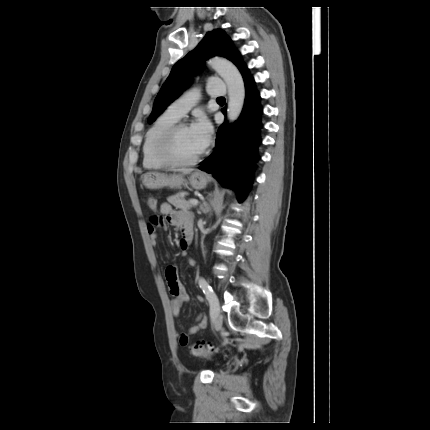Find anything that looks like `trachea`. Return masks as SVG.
Listing matches in <instances>:
<instances>
[{
  "label": "trachea",
  "mask_w": 430,
  "mask_h": 430,
  "mask_svg": "<svg viewBox=\"0 0 430 430\" xmlns=\"http://www.w3.org/2000/svg\"><path fill=\"white\" fill-rule=\"evenodd\" d=\"M217 99L222 100V99H224V98H223V97H219V98H217Z\"/></svg>",
  "instance_id": "1"
}]
</instances>
